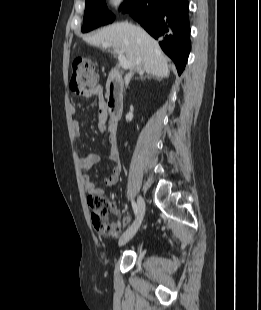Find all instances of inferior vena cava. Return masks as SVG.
<instances>
[{"mask_svg": "<svg viewBox=\"0 0 261 310\" xmlns=\"http://www.w3.org/2000/svg\"><path fill=\"white\" fill-rule=\"evenodd\" d=\"M141 67H142V57L139 56V57L137 58L136 66L134 67V71H140V70H141ZM132 75H133V72H130V73H128V74L125 76L124 80H125V85H126V86L128 85V83H129V81H130Z\"/></svg>", "mask_w": 261, "mask_h": 310, "instance_id": "602c4592", "label": "inferior vena cava"}]
</instances>
